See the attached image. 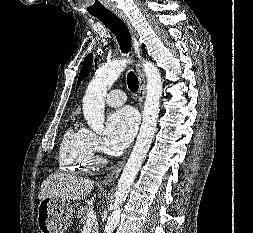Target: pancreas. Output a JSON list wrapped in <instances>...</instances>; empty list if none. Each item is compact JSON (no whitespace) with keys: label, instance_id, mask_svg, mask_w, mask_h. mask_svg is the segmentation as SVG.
<instances>
[{"label":"pancreas","instance_id":"1","mask_svg":"<svg viewBox=\"0 0 253 233\" xmlns=\"http://www.w3.org/2000/svg\"><path fill=\"white\" fill-rule=\"evenodd\" d=\"M91 210L90 206H81L78 211L76 212V216L75 218L78 220L79 226L83 227L86 225V221H87V213ZM98 222L95 221L93 226H92V231L91 233H98Z\"/></svg>","mask_w":253,"mask_h":233}]
</instances>
